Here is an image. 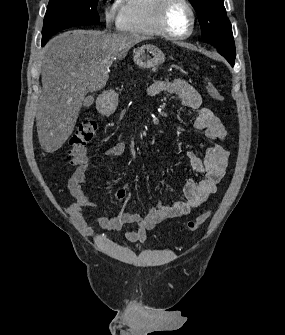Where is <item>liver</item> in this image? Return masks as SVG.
<instances>
[{"label":"liver","instance_id":"6515ba94","mask_svg":"<svg viewBox=\"0 0 285 335\" xmlns=\"http://www.w3.org/2000/svg\"><path fill=\"white\" fill-rule=\"evenodd\" d=\"M139 34H106L100 30H70L49 40L42 50V86L36 112L40 146L53 154L71 136L89 92L109 80L115 58H125Z\"/></svg>","mask_w":285,"mask_h":335}]
</instances>
